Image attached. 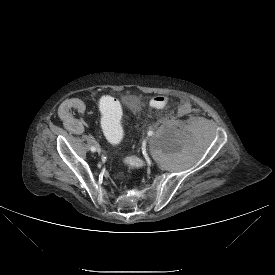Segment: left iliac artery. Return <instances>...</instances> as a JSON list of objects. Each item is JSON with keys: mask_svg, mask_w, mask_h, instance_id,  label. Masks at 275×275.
<instances>
[{"mask_svg": "<svg viewBox=\"0 0 275 275\" xmlns=\"http://www.w3.org/2000/svg\"><path fill=\"white\" fill-rule=\"evenodd\" d=\"M148 135H149V136L153 135V131H149V132H148Z\"/></svg>", "mask_w": 275, "mask_h": 275, "instance_id": "left-iliac-artery-1", "label": "left iliac artery"}]
</instances>
